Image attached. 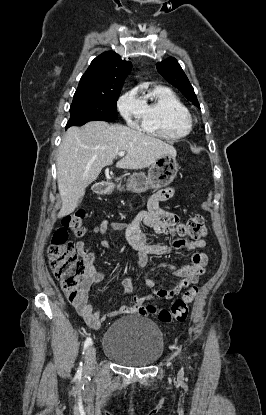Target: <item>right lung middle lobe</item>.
Here are the masks:
<instances>
[{
	"label": "right lung middle lobe",
	"mask_w": 266,
	"mask_h": 415,
	"mask_svg": "<svg viewBox=\"0 0 266 415\" xmlns=\"http://www.w3.org/2000/svg\"><path fill=\"white\" fill-rule=\"evenodd\" d=\"M120 92L111 94L75 93L70 107V126H82L89 121L111 122L117 119V106Z\"/></svg>",
	"instance_id": "dd1d6c3e"
}]
</instances>
